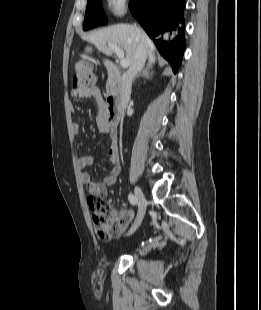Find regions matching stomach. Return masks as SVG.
Returning a JSON list of instances; mask_svg holds the SVG:
<instances>
[{
    "mask_svg": "<svg viewBox=\"0 0 261 310\" xmlns=\"http://www.w3.org/2000/svg\"><path fill=\"white\" fill-rule=\"evenodd\" d=\"M86 51H87V52L91 51V47H87V48H86Z\"/></svg>",
    "mask_w": 261,
    "mask_h": 310,
    "instance_id": "1",
    "label": "stomach"
}]
</instances>
